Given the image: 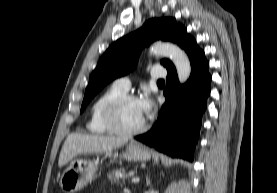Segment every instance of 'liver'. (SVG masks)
<instances>
[{
	"instance_id": "6515ba94",
	"label": "liver",
	"mask_w": 277,
	"mask_h": 193,
	"mask_svg": "<svg viewBox=\"0 0 277 193\" xmlns=\"http://www.w3.org/2000/svg\"><path fill=\"white\" fill-rule=\"evenodd\" d=\"M127 139L96 134L73 133L66 138L58 160L61 168L80 154L111 152L127 143Z\"/></svg>"
}]
</instances>
